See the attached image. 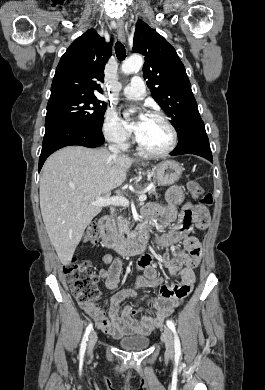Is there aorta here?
Here are the masks:
<instances>
[{
	"instance_id": "1",
	"label": "aorta",
	"mask_w": 265,
	"mask_h": 390,
	"mask_svg": "<svg viewBox=\"0 0 265 390\" xmlns=\"http://www.w3.org/2000/svg\"><path fill=\"white\" fill-rule=\"evenodd\" d=\"M142 66H143V58L140 55H132L123 62L121 66V70L125 74H131L133 72L139 71Z\"/></svg>"
}]
</instances>
